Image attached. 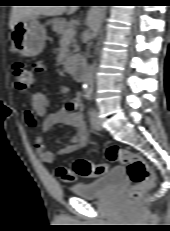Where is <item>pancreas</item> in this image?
Wrapping results in <instances>:
<instances>
[{"label": "pancreas", "mask_w": 170, "mask_h": 231, "mask_svg": "<svg viewBox=\"0 0 170 231\" xmlns=\"http://www.w3.org/2000/svg\"><path fill=\"white\" fill-rule=\"evenodd\" d=\"M72 28V25L70 22L66 21L65 19L63 18H59V19H55L53 22H52V30L56 33H58L59 35L64 36V33L67 29H71ZM70 42L72 43V47H73V52L76 53L79 51V47L75 44V39H74V36L71 37L70 39ZM70 62V57H68L67 59V63Z\"/></svg>", "instance_id": "1"}]
</instances>
